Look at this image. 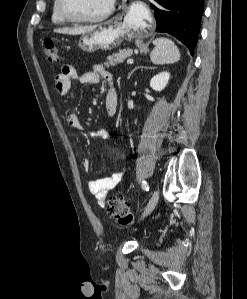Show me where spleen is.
Returning <instances> with one entry per match:
<instances>
[{"instance_id": "spleen-1", "label": "spleen", "mask_w": 247, "mask_h": 299, "mask_svg": "<svg viewBox=\"0 0 247 299\" xmlns=\"http://www.w3.org/2000/svg\"><path fill=\"white\" fill-rule=\"evenodd\" d=\"M153 44L155 47L150 54L152 63L164 65L179 61L180 52L172 40L160 37L155 39Z\"/></svg>"}]
</instances>
